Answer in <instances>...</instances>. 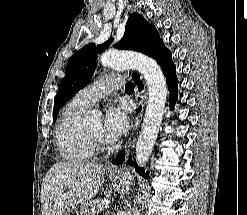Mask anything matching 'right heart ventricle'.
<instances>
[{"instance_id": "right-heart-ventricle-1", "label": "right heart ventricle", "mask_w": 247, "mask_h": 215, "mask_svg": "<svg viewBox=\"0 0 247 215\" xmlns=\"http://www.w3.org/2000/svg\"><path fill=\"white\" fill-rule=\"evenodd\" d=\"M87 108L77 104L74 99L63 109L55 130L57 149L66 162L82 163L89 161L95 151L87 141L81 120Z\"/></svg>"}]
</instances>
